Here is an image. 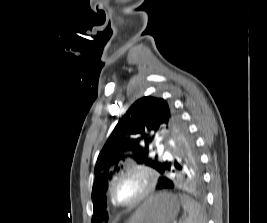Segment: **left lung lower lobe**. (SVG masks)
Instances as JSON below:
<instances>
[{
  "label": "left lung lower lobe",
  "mask_w": 267,
  "mask_h": 223,
  "mask_svg": "<svg viewBox=\"0 0 267 223\" xmlns=\"http://www.w3.org/2000/svg\"><path fill=\"white\" fill-rule=\"evenodd\" d=\"M202 175V171H169V173H158V178H162V180L157 185L156 192L179 194L180 189H198V183Z\"/></svg>",
  "instance_id": "obj_1"
}]
</instances>
